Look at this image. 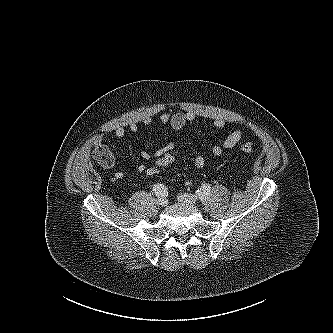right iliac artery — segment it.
Returning a JSON list of instances; mask_svg holds the SVG:
<instances>
[{
    "instance_id": "1",
    "label": "right iliac artery",
    "mask_w": 333,
    "mask_h": 333,
    "mask_svg": "<svg viewBox=\"0 0 333 333\" xmlns=\"http://www.w3.org/2000/svg\"><path fill=\"white\" fill-rule=\"evenodd\" d=\"M153 191L155 192V194L158 197L159 196H162V197L168 196L167 188L161 183L155 184L154 187H153Z\"/></svg>"
}]
</instances>
